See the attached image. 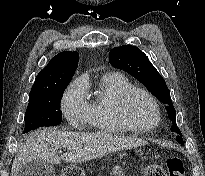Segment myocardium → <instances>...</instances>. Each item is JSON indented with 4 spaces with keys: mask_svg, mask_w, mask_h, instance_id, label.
<instances>
[{
    "mask_svg": "<svg viewBox=\"0 0 205 176\" xmlns=\"http://www.w3.org/2000/svg\"><path fill=\"white\" fill-rule=\"evenodd\" d=\"M136 94L144 95L154 107V110L156 113V121L154 124L150 126H143V125L136 124L131 119L129 112H128V105H129L130 100ZM119 112H120V116L123 119V121L131 129L136 130V131H148L151 128L157 127L161 123V120H162V112H161V108L159 106L157 99L154 97V95L150 91L142 87H131L130 89H128L126 92L122 94L119 100Z\"/></svg>",
    "mask_w": 205,
    "mask_h": 176,
    "instance_id": "1",
    "label": "myocardium"
}]
</instances>
